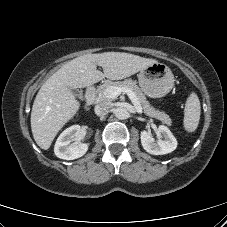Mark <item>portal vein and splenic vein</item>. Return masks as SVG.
<instances>
[{"label":"portal vein and splenic vein","instance_id":"18ae733b","mask_svg":"<svg viewBox=\"0 0 227 227\" xmlns=\"http://www.w3.org/2000/svg\"><path fill=\"white\" fill-rule=\"evenodd\" d=\"M121 93H125L128 95V97L130 98V100L132 101V103L134 104V107L136 109V111L141 114L142 113V107L135 95V93L127 87H115V86H111L109 88H107L104 92V95L107 98L110 99H115L116 97H118Z\"/></svg>","mask_w":227,"mask_h":227}]
</instances>
